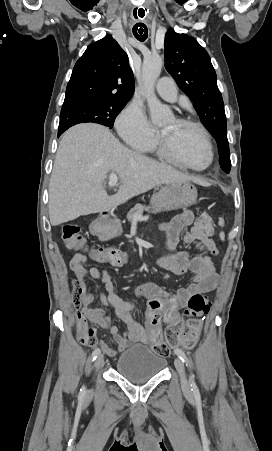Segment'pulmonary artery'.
<instances>
[{
    "label": "pulmonary artery",
    "instance_id": "obj_1",
    "mask_svg": "<svg viewBox=\"0 0 272 451\" xmlns=\"http://www.w3.org/2000/svg\"><path fill=\"white\" fill-rule=\"evenodd\" d=\"M156 91L164 100L170 102H175L177 100V85L172 78L159 79L156 84Z\"/></svg>",
    "mask_w": 272,
    "mask_h": 451
}]
</instances>
